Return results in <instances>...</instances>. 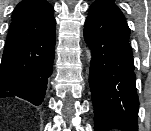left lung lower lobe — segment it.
<instances>
[{
  "label": "left lung lower lobe",
  "instance_id": "obj_1",
  "mask_svg": "<svg viewBox=\"0 0 151 131\" xmlns=\"http://www.w3.org/2000/svg\"><path fill=\"white\" fill-rule=\"evenodd\" d=\"M130 29L120 9L111 3L89 8L84 39L93 59L89 85L95 131H137L136 92Z\"/></svg>",
  "mask_w": 151,
  "mask_h": 131
}]
</instances>
